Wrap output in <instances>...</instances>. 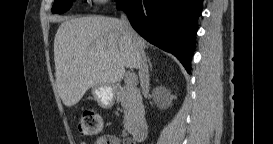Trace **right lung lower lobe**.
<instances>
[{"label": "right lung lower lobe", "mask_w": 273, "mask_h": 144, "mask_svg": "<svg viewBox=\"0 0 273 144\" xmlns=\"http://www.w3.org/2000/svg\"><path fill=\"white\" fill-rule=\"evenodd\" d=\"M116 1L142 37L175 55L190 73L203 0Z\"/></svg>", "instance_id": "1"}]
</instances>
